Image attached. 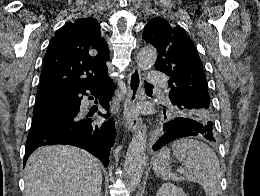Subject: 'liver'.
<instances>
[{"mask_svg": "<svg viewBox=\"0 0 260 196\" xmlns=\"http://www.w3.org/2000/svg\"><path fill=\"white\" fill-rule=\"evenodd\" d=\"M25 196H102L100 162L73 146H43L28 158Z\"/></svg>", "mask_w": 260, "mask_h": 196, "instance_id": "obj_1", "label": "liver"}]
</instances>
